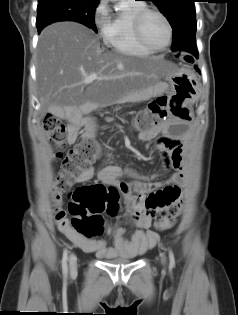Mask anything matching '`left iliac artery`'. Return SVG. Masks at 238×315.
I'll list each match as a JSON object with an SVG mask.
<instances>
[{"label":"left iliac artery","mask_w":238,"mask_h":315,"mask_svg":"<svg viewBox=\"0 0 238 315\" xmlns=\"http://www.w3.org/2000/svg\"><path fill=\"white\" fill-rule=\"evenodd\" d=\"M169 261H170V267L171 268L175 267V257L171 249L169 250Z\"/></svg>","instance_id":"1"}]
</instances>
